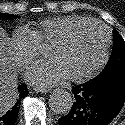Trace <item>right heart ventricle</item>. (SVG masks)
Returning a JSON list of instances; mask_svg holds the SVG:
<instances>
[{"label": "right heart ventricle", "mask_w": 125, "mask_h": 125, "mask_svg": "<svg viewBox=\"0 0 125 125\" xmlns=\"http://www.w3.org/2000/svg\"><path fill=\"white\" fill-rule=\"evenodd\" d=\"M87 19L90 18L75 15L49 18L40 21L33 31L42 45H48L69 27Z\"/></svg>", "instance_id": "obj_1"}]
</instances>
